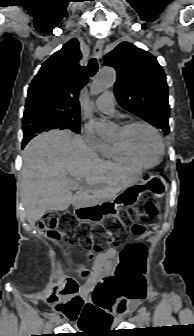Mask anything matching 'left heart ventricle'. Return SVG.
<instances>
[{
  "instance_id": "1",
  "label": "left heart ventricle",
  "mask_w": 194,
  "mask_h": 336,
  "mask_svg": "<svg viewBox=\"0 0 194 336\" xmlns=\"http://www.w3.org/2000/svg\"><path fill=\"white\" fill-rule=\"evenodd\" d=\"M123 137L120 130L117 141ZM127 139L137 156L146 163H154L159 158L160 148L159 143L154 133L143 126H136L132 128L128 134Z\"/></svg>"
}]
</instances>
